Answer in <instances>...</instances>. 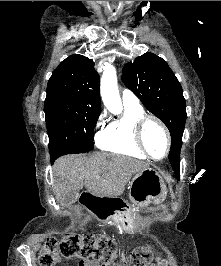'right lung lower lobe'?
I'll return each mask as SVG.
<instances>
[{
	"label": "right lung lower lobe",
	"instance_id": "obj_1",
	"mask_svg": "<svg viewBox=\"0 0 221 266\" xmlns=\"http://www.w3.org/2000/svg\"><path fill=\"white\" fill-rule=\"evenodd\" d=\"M55 159L51 158V162H54Z\"/></svg>",
	"mask_w": 221,
	"mask_h": 266
}]
</instances>
